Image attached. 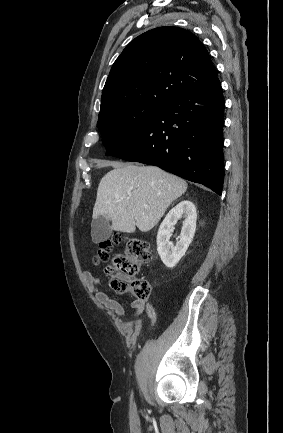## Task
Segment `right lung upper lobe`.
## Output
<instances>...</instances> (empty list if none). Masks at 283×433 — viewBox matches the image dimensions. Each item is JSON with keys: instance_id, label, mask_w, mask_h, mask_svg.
I'll use <instances>...</instances> for the list:
<instances>
[{"instance_id": "cb5924a9", "label": "right lung upper lobe", "mask_w": 283, "mask_h": 433, "mask_svg": "<svg viewBox=\"0 0 283 433\" xmlns=\"http://www.w3.org/2000/svg\"><path fill=\"white\" fill-rule=\"evenodd\" d=\"M217 79L209 53L188 30L159 27L136 37L114 62L101 110L124 104L166 105Z\"/></svg>"}]
</instances>
